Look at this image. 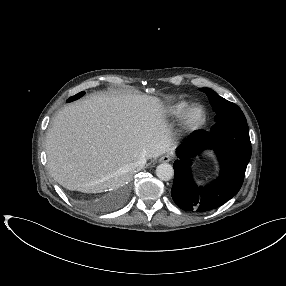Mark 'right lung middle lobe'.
<instances>
[{
	"instance_id": "1",
	"label": "right lung middle lobe",
	"mask_w": 286,
	"mask_h": 286,
	"mask_svg": "<svg viewBox=\"0 0 286 286\" xmlns=\"http://www.w3.org/2000/svg\"><path fill=\"white\" fill-rule=\"evenodd\" d=\"M83 95H84V92H80V93H78V94H76V95L70 97V98L67 100V102L74 101V100H76V99L82 97Z\"/></svg>"
}]
</instances>
